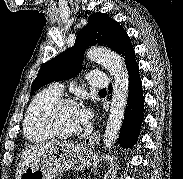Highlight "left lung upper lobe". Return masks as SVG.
I'll return each instance as SVG.
<instances>
[{"label": "left lung upper lobe", "instance_id": "left-lung-upper-lobe-1", "mask_svg": "<svg viewBox=\"0 0 183 179\" xmlns=\"http://www.w3.org/2000/svg\"><path fill=\"white\" fill-rule=\"evenodd\" d=\"M123 27L106 13L96 12L88 17V25L77 34L75 45L46 62L31 85V93L42 86L74 77L82 70L84 52L92 45H102L116 51L125 34Z\"/></svg>", "mask_w": 183, "mask_h": 179}]
</instances>
